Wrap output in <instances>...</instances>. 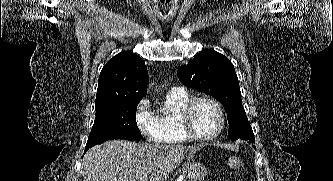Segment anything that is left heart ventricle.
<instances>
[{"instance_id":"left-heart-ventricle-1","label":"left heart ventricle","mask_w":333,"mask_h":181,"mask_svg":"<svg viewBox=\"0 0 333 181\" xmlns=\"http://www.w3.org/2000/svg\"><path fill=\"white\" fill-rule=\"evenodd\" d=\"M192 124L197 134L200 136H210L219 128V115L211 104L200 102L193 112Z\"/></svg>"}]
</instances>
